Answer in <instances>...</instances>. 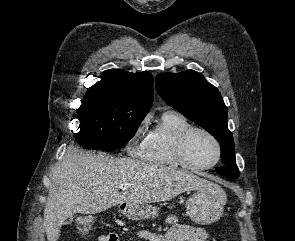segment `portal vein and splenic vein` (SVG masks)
I'll return each mask as SVG.
<instances>
[{
  "label": "portal vein and splenic vein",
  "instance_id": "1",
  "mask_svg": "<svg viewBox=\"0 0 295 241\" xmlns=\"http://www.w3.org/2000/svg\"><path fill=\"white\" fill-rule=\"evenodd\" d=\"M120 189L125 190L126 188H128V184H121Z\"/></svg>",
  "mask_w": 295,
  "mask_h": 241
}]
</instances>
